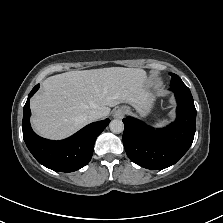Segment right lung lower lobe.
I'll list each match as a JSON object with an SVG mask.
<instances>
[{
    "label": "right lung lower lobe",
    "instance_id": "obj_1",
    "mask_svg": "<svg viewBox=\"0 0 223 223\" xmlns=\"http://www.w3.org/2000/svg\"><path fill=\"white\" fill-rule=\"evenodd\" d=\"M38 88L39 84L29 93L23 110L22 129L26 146L40 164L51 170L73 172L84 167L91 160L96 138L110 120L105 119L91 123L61 141H51L39 137L33 132L29 121L31 115L29 100Z\"/></svg>",
    "mask_w": 223,
    "mask_h": 223
}]
</instances>
